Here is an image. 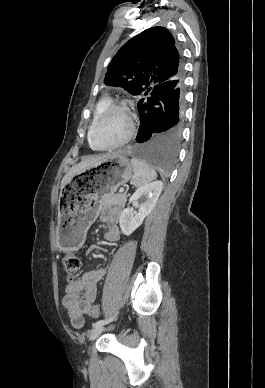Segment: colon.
Listing matches in <instances>:
<instances>
[{"instance_id":"colon-1","label":"colon","mask_w":265,"mask_h":388,"mask_svg":"<svg viewBox=\"0 0 265 388\" xmlns=\"http://www.w3.org/2000/svg\"><path fill=\"white\" fill-rule=\"evenodd\" d=\"M62 264L68 278L71 280L80 269L81 262L79 257L74 252H69L64 256ZM89 315L92 317L100 316L99 306H91L89 310Z\"/></svg>"}]
</instances>
